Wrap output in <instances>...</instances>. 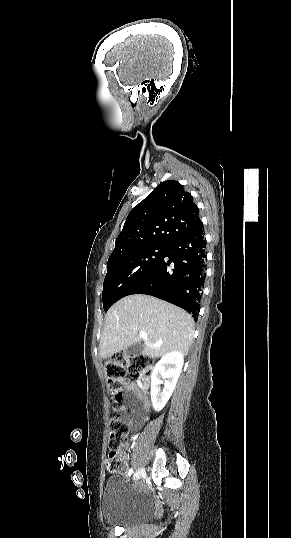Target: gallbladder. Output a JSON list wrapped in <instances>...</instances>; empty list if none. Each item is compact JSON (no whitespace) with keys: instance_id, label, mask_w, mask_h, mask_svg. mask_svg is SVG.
<instances>
[{"instance_id":"obj_1","label":"gallbladder","mask_w":291,"mask_h":538,"mask_svg":"<svg viewBox=\"0 0 291 538\" xmlns=\"http://www.w3.org/2000/svg\"><path fill=\"white\" fill-rule=\"evenodd\" d=\"M142 352V344L140 342L131 345L125 352L126 355H138Z\"/></svg>"}]
</instances>
